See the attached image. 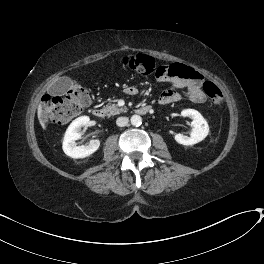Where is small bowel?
<instances>
[{"label": "small bowel", "instance_id": "1", "mask_svg": "<svg viewBox=\"0 0 264 264\" xmlns=\"http://www.w3.org/2000/svg\"><path fill=\"white\" fill-rule=\"evenodd\" d=\"M170 68L172 75L166 80L171 82V88L160 95L159 104L166 105L178 102L184 97L196 103H202L206 100V94L203 90L204 78L201 74L190 67L180 64H173ZM180 90H185L186 95L184 96ZM136 91V87L131 86L125 90V93L134 95Z\"/></svg>", "mask_w": 264, "mask_h": 264}]
</instances>
